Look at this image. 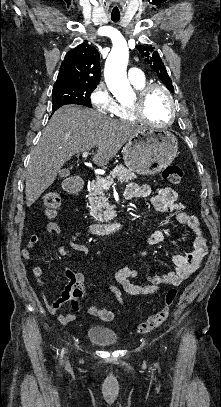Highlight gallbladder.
Returning a JSON list of instances; mask_svg holds the SVG:
<instances>
[{
	"label": "gallbladder",
	"mask_w": 221,
	"mask_h": 407,
	"mask_svg": "<svg viewBox=\"0 0 221 407\" xmlns=\"http://www.w3.org/2000/svg\"><path fill=\"white\" fill-rule=\"evenodd\" d=\"M69 174H70V170H69V169H62V170L59 171V175H60L61 177L68 176Z\"/></svg>",
	"instance_id": "1"
}]
</instances>
